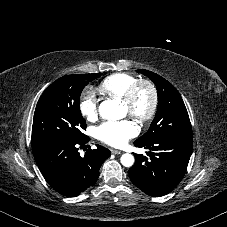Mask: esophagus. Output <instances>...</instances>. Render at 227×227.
<instances>
[{
	"mask_svg": "<svg viewBox=\"0 0 227 227\" xmlns=\"http://www.w3.org/2000/svg\"><path fill=\"white\" fill-rule=\"evenodd\" d=\"M111 152H112L113 154H116V155H118V154H121V153H122L121 151L116 150V149H111Z\"/></svg>",
	"mask_w": 227,
	"mask_h": 227,
	"instance_id": "obj_1",
	"label": "esophagus"
}]
</instances>
